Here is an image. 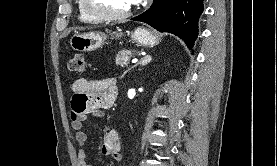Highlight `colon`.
Masks as SVG:
<instances>
[{"label": "colon", "instance_id": "colon-1", "mask_svg": "<svg viewBox=\"0 0 277 166\" xmlns=\"http://www.w3.org/2000/svg\"><path fill=\"white\" fill-rule=\"evenodd\" d=\"M86 67V59L81 54H76L75 56H73L67 64V68L69 71L78 74L84 73L86 71Z\"/></svg>", "mask_w": 277, "mask_h": 166}]
</instances>
